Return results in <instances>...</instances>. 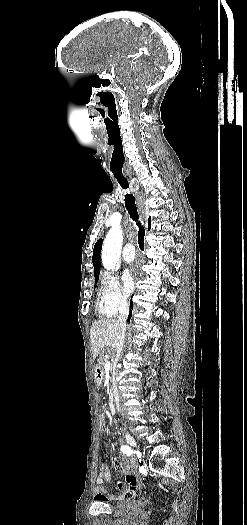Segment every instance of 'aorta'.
<instances>
[{"mask_svg": "<svg viewBox=\"0 0 247 525\" xmlns=\"http://www.w3.org/2000/svg\"><path fill=\"white\" fill-rule=\"evenodd\" d=\"M123 241V233L120 226H113L106 235L104 240L101 259L105 269H115Z\"/></svg>", "mask_w": 247, "mask_h": 525, "instance_id": "762f6f07", "label": "aorta"}]
</instances>
